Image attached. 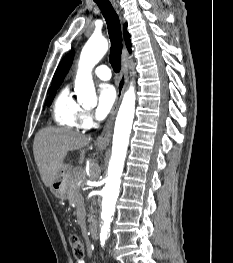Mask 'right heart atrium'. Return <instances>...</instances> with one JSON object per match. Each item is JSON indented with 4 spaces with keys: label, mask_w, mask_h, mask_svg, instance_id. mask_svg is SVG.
I'll return each mask as SVG.
<instances>
[{
    "label": "right heart atrium",
    "mask_w": 233,
    "mask_h": 263,
    "mask_svg": "<svg viewBox=\"0 0 233 263\" xmlns=\"http://www.w3.org/2000/svg\"><path fill=\"white\" fill-rule=\"evenodd\" d=\"M81 128L88 129L93 125V119L90 111L83 109L79 117Z\"/></svg>",
    "instance_id": "right-heart-atrium-1"
}]
</instances>
